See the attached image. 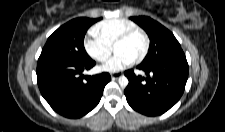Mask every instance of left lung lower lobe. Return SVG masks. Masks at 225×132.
<instances>
[{"label":"left lung lower lobe","mask_w":225,"mask_h":132,"mask_svg":"<svg viewBox=\"0 0 225 132\" xmlns=\"http://www.w3.org/2000/svg\"><path fill=\"white\" fill-rule=\"evenodd\" d=\"M146 76L125 71L129 79L124 94L129 105L147 116L160 115L169 110L182 96L188 78L186 59L163 61L137 67Z\"/></svg>","instance_id":"left-lung-lower-lobe-1"}]
</instances>
